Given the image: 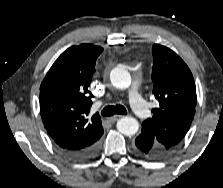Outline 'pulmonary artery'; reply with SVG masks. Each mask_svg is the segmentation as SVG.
<instances>
[{
    "label": "pulmonary artery",
    "mask_w": 223,
    "mask_h": 188,
    "mask_svg": "<svg viewBox=\"0 0 223 188\" xmlns=\"http://www.w3.org/2000/svg\"><path fill=\"white\" fill-rule=\"evenodd\" d=\"M130 104L133 111L140 118H145L148 116L149 110L138 92L137 85L134 86V88L132 89L130 93Z\"/></svg>",
    "instance_id": "obj_1"
}]
</instances>
